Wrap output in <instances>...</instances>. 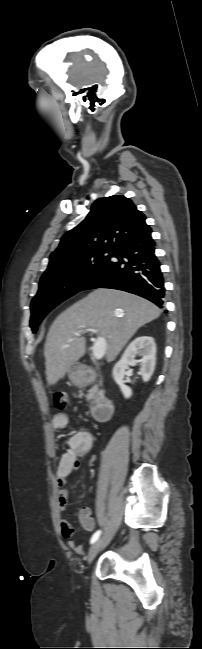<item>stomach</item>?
Masks as SVG:
<instances>
[{
    "label": "stomach",
    "mask_w": 202,
    "mask_h": 649,
    "mask_svg": "<svg viewBox=\"0 0 202 649\" xmlns=\"http://www.w3.org/2000/svg\"><path fill=\"white\" fill-rule=\"evenodd\" d=\"M68 377L70 381L74 384H80L82 381V376L80 374L79 368L76 365H72L67 370Z\"/></svg>",
    "instance_id": "0dacf381"
}]
</instances>
